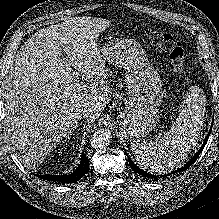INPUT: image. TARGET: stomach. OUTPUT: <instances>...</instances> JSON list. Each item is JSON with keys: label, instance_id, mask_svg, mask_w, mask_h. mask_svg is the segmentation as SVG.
Returning <instances> with one entry per match:
<instances>
[{"label": "stomach", "instance_id": "0dacf381", "mask_svg": "<svg viewBox=\"0 0 219 219\" xmlns=\"http://www.w3.org/2000/svg\"><path fill=\"white\" fill-rule=\"evenodd\" d=\"M100 53L104 61L126 71L128 103L118 116L121 134L128 140L148 135L156 126L164 94L159 73L133 39L113 38Z\"/></svg>", "mask_w": 219, "mask_h": 219}]
</instances>
